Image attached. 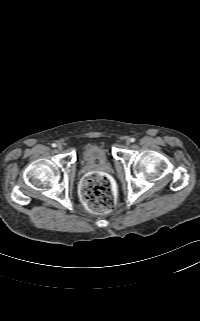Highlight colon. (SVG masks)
Here are the masks:
<instances>
[{"mask_svg": "<svg viewBox=\"0 0 200 321\" xmlns=\"http://www.w3.org/2000/svg\"><path fill=\"white\" fill-rule=\"evenodd\" d=\"M80 195L93 213H107L114 208L115 196L108 176L100 171L86 175L80 184Z\"/></svg>", "mask_w": 200, "mask_h": 321, "instance_id": "colon-1", "label": "colon"}]
</instances>
